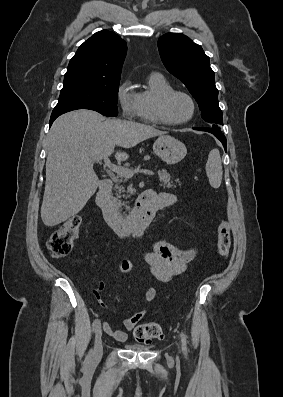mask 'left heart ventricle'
Here are the masks:
<instances>
[{
  "mask_svg": "<svg viewBox=\"0 0 283 397\" xmlns=\"http://www.w3.org/2000/svg\"><path fill=\"white\" fill-rule=\"evenodd\" d=\"M191 113V104L182 95L172 97L167 104L168 118L174 121L183 120Z\"/></svg>",
  "mask_w": 283,
  "mask_h": 397,
  "instance_id": "obj_1",
  "label": "left heart ventricle"
}]
</instances>
